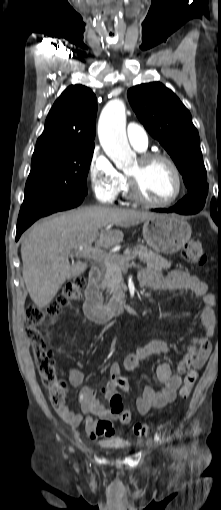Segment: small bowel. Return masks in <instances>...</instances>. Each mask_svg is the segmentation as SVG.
Masks as SVG:
<instances>
[{
  "label": "small bowel",
  "instance_id": "c3829d8e",
  "mask_svg": "<svg viewBox=\"0 0 221 510\" xmlns=\"http://www.w3.org/2000/svg\"><path fill=\"white\" fill-rule=\"evenodd\" d=\"M140 281L144 286L156 290H173L177 292L190 291L204 302L201 312V324L203 334L194 338L186 354L180 360L175 373L172 372L167 363L158 365L155 369L156 379L162 384L159 390L152 386H145L142 395L136 400V409L140 415H147L151 409H160L172 402L182 377L190 370H197L206 363L210 352V337L216 327L214 314L215 297L209 292L207 284L198 277L191 275L184 270H171L166 275L160 274L157 270L146 267L140 271ZM170 347L161 340L151 341L135 351L127 354L122 363H114L110 367L111 378L106 385L100 388L84 386L78 393V402L81 408L80 413H74L67 406L64 410H57L59 416L72 427L79 426L83 420L85 430L92 439H103L113 435L112 423L120 420L119 413L113 408L106 406L102 400H109L119 393V390L127 391L129 383L123 376V370L134 372L139 363L152 355L168 354ZM68 381L70 386L78 387L83 381V374L77 369L68 366ZM122 376L125 380L124 387L115 384V377ZM83 414L86 418L83 419Z\"/></svg>",
  "mask_w": 221,
  "mask_h": 510
}]
</instances>
